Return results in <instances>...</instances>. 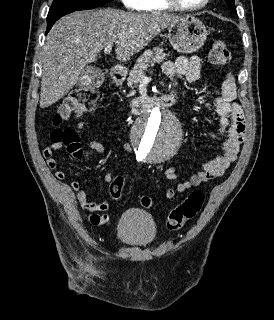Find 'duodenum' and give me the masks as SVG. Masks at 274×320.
Wrapping results in <instances>:
<instances>
[{
	"instance_id": "duodenum-1",
	"label": "duodenum",
	"mask_w": 274,
	"mask_h": 320,
	"mask_svg": "<svg viewBox=\"0 0 274 320\" xmlns=\"http://www.w3.org/2000/svg\"><path fill=\"white\" fill-rule=\"evenodd\" d=\"M123 73L120 71H112L110 81L113 86H117L123 80ZM177 101L176 94H167L159 97H144L136 102L135 113L146 111L155 107H166L175 104Z\"/></svg>"
}]
</instances>
